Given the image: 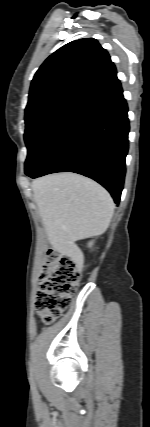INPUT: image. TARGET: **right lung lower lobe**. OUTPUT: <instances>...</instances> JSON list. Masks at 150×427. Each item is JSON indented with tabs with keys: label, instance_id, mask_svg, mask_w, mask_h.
<instances>
[{
	"label": "right lung lower lobe",
	"instance_id": "1",
	"mask_svg": "<svg viewBox=\"0 0 150 427\" xmlns=\"http://www.w3.org/2000/svg\"><path fill=\"white\" fill-rule=\"evenodd\" d=\"M127 112L118 82L79 108L29 176L79 173L103 185L118 204L128 152Z\"/></svg>",
	"mask_w": 150,
	"mask_h": 427
}]
</instances>
